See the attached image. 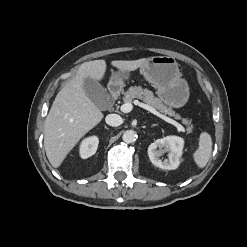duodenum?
Returning a JSON list of instances; mask_svg holds the SVG:
<instances>
[{
	"instance_id": "duodenum-1",
	"label": "duodenum",
	"mask_w": 247,
	"mask_h": 247,
	"mask_svg": "<svg viewBox=\"0 0 247 247\" xmlns=\"http://www.w3.org/2000/svg\"><path fill=\"white\" fill-rule=\"evenodd\" d=\"M118 92L115 89H111L110 91V96H111V100L114 101L117 97Z\"/></svg>"
}]
</instances>
